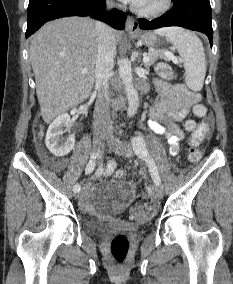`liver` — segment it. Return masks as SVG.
Masks as SVG:
<instances>
[{"label": "liver", "mask_w": 233, "mask_h": 284, "mask_svg": "<svg viewBox=\"0 0 233 284\" xmlns=\"http://www.w3.org/2000/svg\"><path fill=\"white\" fill-rule=\"evenodd\" d=\"M113 33L116 43H121L122 33ZM97 51L96 21L90 18L50 21L32 37L29 58L45 123L88 98L95 81Z\"/></svg>", "instance_id": "1"}]
</instances>
